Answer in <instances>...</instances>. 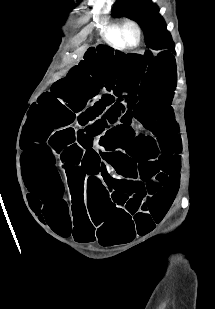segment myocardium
Segmentation results:
<instances>
[{"label":"myocardium","instance_id":"1","mask_svg":"<svg viewBox=\"0 0 215 309\" xmlns=\"http://www.w3.org/2000/svg\"><path fill=\"white\" fill-rule=\"evenodd\" d=\"M118 29L119 40L123 48H136L140 44L141 30L135 22L130 20L123 21L118 25ZM128 33H131L133 36L132 42L126 40V35Z\"/></svg>","mask_w":215,"mask_h":309}]
</instances>
